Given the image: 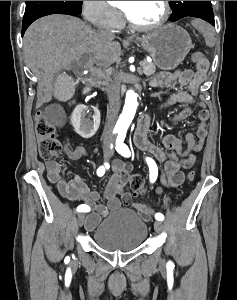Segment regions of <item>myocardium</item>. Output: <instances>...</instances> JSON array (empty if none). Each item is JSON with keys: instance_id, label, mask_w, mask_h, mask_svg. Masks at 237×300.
Wrapping results in <instances>:
<instances>
[{"instance_id": "myocardium-1", "label": "myocardium", "mask_w": 237, "mask_h": 300, "mask_svg": "<svg viewBox=\"0 0 237 300\" xmlns=\"http://www.w3.org/2000/svg\"><path fill=\"white\" fill-rule=\"evenodd\" d=\"M162 2H163V7H164L162 17L156 23L150 24V25L137 24L130 18V16L124 10H121V12H122L125 22L133 29L139 30V31L156 30V29L163 27L166 24V22L168 21V19L170 17V14H171L170 1H162Z\"/></svg>"}]
</instances>
